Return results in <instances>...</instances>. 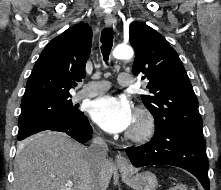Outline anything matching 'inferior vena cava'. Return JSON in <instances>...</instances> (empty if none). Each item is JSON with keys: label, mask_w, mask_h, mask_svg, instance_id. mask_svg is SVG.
Segmentation results:
<instances>
[{"label": "inferior vena cava", "mask_w": 221, "mask_h": 190, "mask_svg": "<svg viewBox=\"0 0 221 190\" xmlns=\"http://www.w3.org/2000/svg\"><path fill=\"white\" fill-rule=\"evenodd\" d=\"M108 153V147L103 138L95 136L91 145L86 149V155L92 165L99 168L105 161ZM95 186L93 190H97Z\"/></svg>", "instance_id": "obj_1"}]
</instances>
